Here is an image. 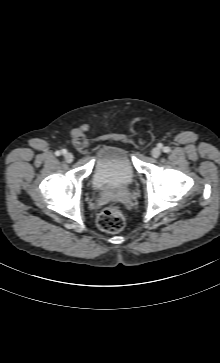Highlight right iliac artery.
Here are the masks:
<instances>
[{"mask_svg": "<svg viewBox=\"0 0 220 363\" xmlns=\"http://www.w3.org/2000/svg\"><path fill=\"white\" fill-rule=\"evenodd\" d=\"M67 151L65 149L61 150V151H56L55 155L56 156H60L61 154H65Z\"/></svg>", "mask_w": 220, "mask_h": 363, "instance_id": "right-iliac-artery-1", "label": "right iliac artery"}]
</instances>
